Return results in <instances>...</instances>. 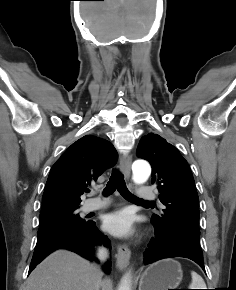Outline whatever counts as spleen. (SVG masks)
Instances as JSON below:
<instances>
[{
  "mask_svg": "<svg viewBox=\"0 0 236 290\" xmlns=\"http://www.w3.org/2000/svg\"><path fill=\"white\" fill-rule=\"evenodd\" d=\"M192 282L190 284V289H206V284L203 278L197 274L195 271L191 272Z\"/></svg>",
  "mask_w": 236,
  "mask_h": 290,
  "instance_id": "spleen-1",
  "label": "spleen"
}]
</instances>
